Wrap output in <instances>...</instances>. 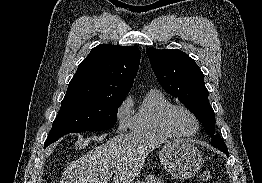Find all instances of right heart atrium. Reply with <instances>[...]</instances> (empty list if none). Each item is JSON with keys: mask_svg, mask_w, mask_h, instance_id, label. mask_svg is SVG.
Instances as JSON below:
<instances>
[{"mask_svg": "<svg viewBox=\"0 0 262 183\" xmlns=\"http://www.w3.org/2000/svg\"><path fill=\"white\" fill-rule=\"evenodd\" d=\"M132 118V99L126 96L116 110L118 131L123 132L131 127Z\"/></svg>", "mask_w": 262, "mask_h": 183, "instance_id": "obj_1", "label": "right heart atrium"}]
</instances>
